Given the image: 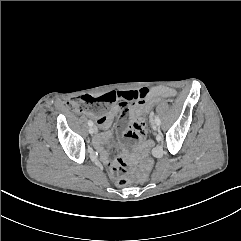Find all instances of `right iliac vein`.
I'll use <instances>...</instances> for the list:
<instances>
[{
	"label": "right iliac vein",
	"mask_w": 241,
	"mask_h": 241,
	"mask_svg": "<svg viewBox=\"0 0 241 241\" xmlns=\"http://www.w3.org/2000/svg\"><path fill=\"white\" fill-rule=\"evenodd\" d=\"M96 132H97V127L94 126V125L90 126V128H89V133H90V134H94V133H96Z\"/></svg>",
	"instance_id": "obj_1"
}]
</instances>
